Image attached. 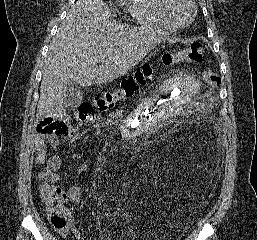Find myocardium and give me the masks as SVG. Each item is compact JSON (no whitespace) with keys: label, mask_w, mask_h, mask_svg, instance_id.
<instances>
[{"label":"myocardium","mask_w":257,"mask_h":240,"mask_svg":"<svg viewBox=\"0 0 257 240\" xmlns=\"http://www.w3.org/2000/svg\"><path fill=\"white\" fill-rule=\"evenodd\" d=\"M186 1L191 5V8H192L191 17L186 23H180L174 19V17L172 16V14L170 12V4H171L172 0H161L162 13H163L164 17L166 18V20L171 25H173L175 28H184V27L189 26L196 17V14H197L196 3L194 2V0H186Z\"/></svg>","instance_id":"obj_1"}]
</instances>
